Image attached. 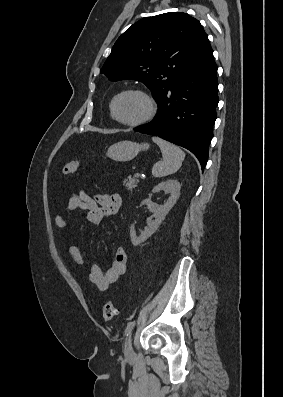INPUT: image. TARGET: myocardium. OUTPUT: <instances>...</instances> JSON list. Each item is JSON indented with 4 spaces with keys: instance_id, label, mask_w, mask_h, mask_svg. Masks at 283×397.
Wrapping results in <instances>:
<instances>
[{
    "instance_id": "obj_1",
    "label": "myocardium",
    "mask_w": 283,
    "mask_h": 397,
    "mask_svg": "<svg viewBox=\"0 0 283 397\" xmlns=\"http://www.w3.org/2000/svg\"><path fill=\"white\" fill-rule=\"evenodd\" d=\"M129 93L141 95L147 102V106H148V110H147L146 114L143 117H141L140 119L135 120V121L122 120L116 114L117 100L121 96H123L125 94H129ZM110 111H111L112 118L119 124L128 126V127H137V126L147 123L155 116L156 111H157V105H156V102H155L154 98L152 97V95L150 93H148L146 90L141 89V88H129V89H125V90L118 92L113 97L111 104H110Z\"/></svg>"
}]
</instances>
